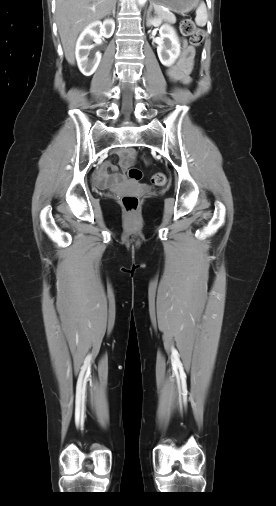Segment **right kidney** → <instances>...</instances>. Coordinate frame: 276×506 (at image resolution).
Masks as SVG:
<instances>
[{
	"mask_svg": "<svg viewBox=\"0 0 276 506\" xmlns=\"http://www.w3.org/2000/svg\"><path fill=\"white\" fill-rule=\"evenodd\" d=\"M115 30V22L112 19H106L103 23L94 21L90 23L80 34L77 43L75 55L80 71L86 75H92L101 60V53L97 52L94 58H89L90 50L93 47L92 42L102 36L109 38Z\"/></svg>",
	"mask_w": 276,
	"mask_h": 506,
	"instance_id": "1",
	"label": "right kidney"
}]
</instances>
